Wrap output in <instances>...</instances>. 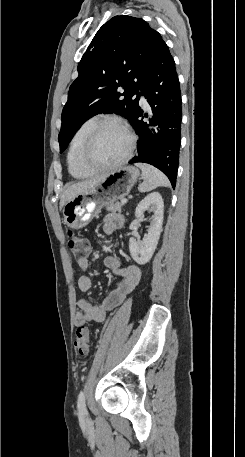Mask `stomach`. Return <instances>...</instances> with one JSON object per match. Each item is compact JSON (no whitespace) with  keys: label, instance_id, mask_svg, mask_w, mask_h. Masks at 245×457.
I'll list each match as a JSON object with an SVG mask.
<instances>
[{"label":"stomach","instance_id":"stomach-1","mask_svg":"<svg viewBox=\"0 0 245 457\" xmlns=\"http://www.w3.org/2000/svg\"><path fill=\"white\" fill-rule=\"evenodd\" d=\"M140 174L136 166H119L84 192L67 200L63 206L64 222L71 229H83L106 202H115L129 194Z\"/></svg>","mask_w":245,"mask_h":457}]
</instances>
